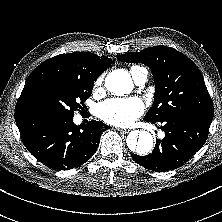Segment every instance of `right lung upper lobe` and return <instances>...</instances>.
I'll use <instances>...</instances> for the list:
<instances>
[{"label": "right lung upper lobe", "instance_id": "right-lung-upper-lobe-1", "mask_svg": "<svg viewBox=\"0 0 222 222\" xmlns=\"http://www.w3.org/2000/svg\"><path fill=\"white\" fill-rule=\"evenodd\" d=\"M112 60L90 52L60 54L41 63L28 77L15 112L27 110V100L38 86L54 79H79L95 81L111 64Z\"/></svg>", "mask_w": 222, "mask_h": 222}]
</instances>
